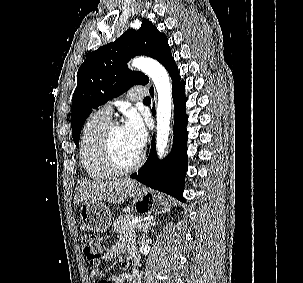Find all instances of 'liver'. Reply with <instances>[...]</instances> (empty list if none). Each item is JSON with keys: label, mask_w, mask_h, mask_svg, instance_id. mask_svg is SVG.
<instances>
[{"label": "liver", "mask_w": 303, "mask_h": 283, "mask_svg": "<svg viewBox=\"0 0 303 283\" xmlns=\"http://www.w3.org/2000/svg\"><path fill=\"white\" fill-rule=\"evenodd\" d=\"M136 186L137 182L130 178L108 181L81 180L76 187L74 204L85 200L121 205L132 195Z\"/></svg>", "instance_id": "liver-1"}]
</instances>
